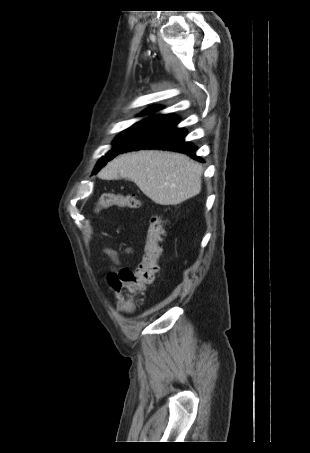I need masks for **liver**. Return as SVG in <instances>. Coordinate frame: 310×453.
<instances>
[{
	"label": "liver",
	"instance_id": "1",
	"mask_svg": "<svg viewBox=\"0 0 310 453\" xmlns=\"http://www.w3.org/2000/svg\"><path fill=\"white\" fill-rule=\"evenodd\" d=\"M202 173V166L183 154L143 150L119 155L98 177L130 179L156 204L177 205L201 192Z\"/></svg>",
	"mask_w": 310,
	"mask_h": 453
}]
</instances>
